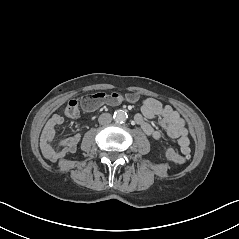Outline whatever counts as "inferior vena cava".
<instances>
[{"mask_svg": "<svg viewBox=\"0 0 239 239\" xmlns=\"http://www.w3.org/2000/svg\"><path fill=\"white\" fill-rule=\"evenodd\" d=\"M98 121L101 125H107L112 122V116L110 113H103L99 116Z\"/></svg>", "mask_w": 239, "mask_h": 239, "instance_id": "602c4592", "label": "inferior vena cava"}]
</instances>
